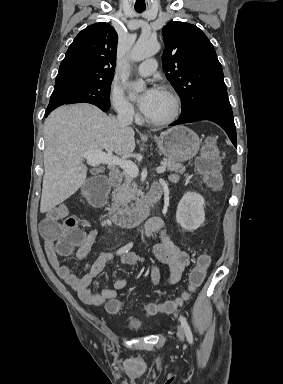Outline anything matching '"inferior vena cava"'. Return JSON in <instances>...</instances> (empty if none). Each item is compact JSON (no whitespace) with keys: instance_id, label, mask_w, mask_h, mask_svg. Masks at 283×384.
Instances as JSON below:
<instances>
[{"instance_id":"obj_1","label":"inferior vena cava","mask_w":283,"mask_h":384,"mask_svg":"<svg viewBox=\"0 0 283 384\" xmlns=\"http://www.w3.org/2000/svg\"><path fill=\"white\" fill-rule=\"evenodd\" d=\"M116 110L118 114L117 120L120 126H122V128H124V126H129V124H132L134 114L132 104H125V102H121V104L117 106Z\"/></svg>"}]
</instances>
